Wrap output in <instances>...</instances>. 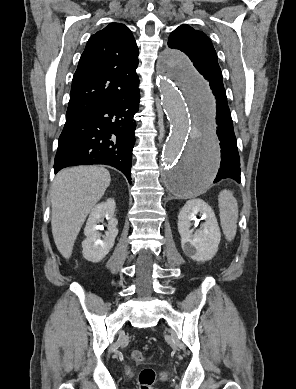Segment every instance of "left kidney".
I'll return each mask as SVG.
<instances>
[{
	"instance_id": "1",
	"label": "left kidney",
	"mask_w": 296,
	"mask_h": 389,
	"mask_svg": "<svg viewBox=\"0 0 296 389\" xmlns=\"http://www.w3.org/2000/svg\"><path fill=\"white\" fill-rule=\"evenodd\" d=\"M205 222L201 229H190L192 221H198L197 215ZM178 232L181 236L183 252L197 262L211 260L218 251L221 233L212 208L201 199L186 202L178 215ZM194 232V233H193Z\"/></svg>"
}]
</instances>
